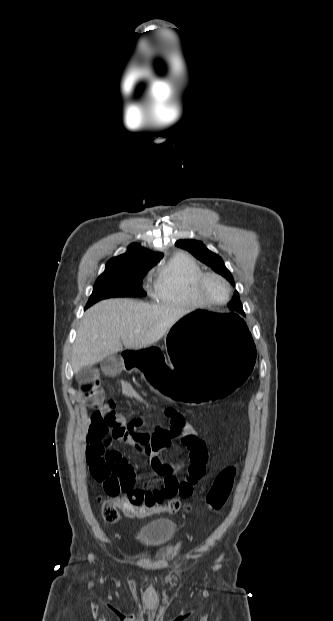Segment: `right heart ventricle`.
Here are the masks:
<instances>
[{
    "label": "right heart ventricle",
    "instance_id": "1",
    "mask_svg": "<svg viewBox=\"0 0 333 621\" xmlns=\"http://www.w3.org/2000/svg\"><path fill=\"white\" fill-rule=\"evenodd\" d=\"M202 273L192 258L175 255L156 270L151 295L154 300L167 305L201 306L203 304L194 292V283Z\"/></svg>",
    "mask_w": 333,
    "mask_h": 621
}]
</instances>
